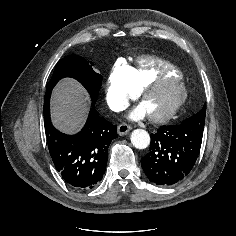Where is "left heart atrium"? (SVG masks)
Listing matches in <instances>:
<instances>
[{
  "instance_id": "39dd6f15",
  "label": "left heart atrium",
  "mask_w": 236,
  "mask_h": 236,
  "mask_svg": "<svg viewBox=\"0 0 236 236\" xmlns=\"http://www.w3.org/2000/svg\"><path fill=\"white\" fill-rule=\"evenodd\" d=\"M147 114L146 109L143 107V105L138 106L135 108L131 113H130V118L131 119H140L143 118Z\"/></svg>"
}]
</instances>
